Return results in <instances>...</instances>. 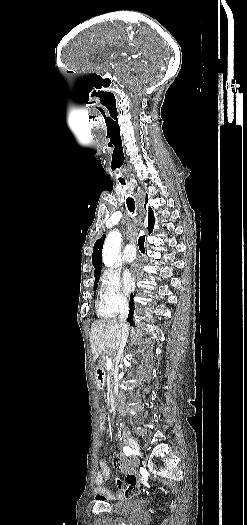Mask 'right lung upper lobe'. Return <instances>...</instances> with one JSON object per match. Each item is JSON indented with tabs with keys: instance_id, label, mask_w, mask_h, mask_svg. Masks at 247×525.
Wrapping results in <instances>:
<instances>
[{
	"instance_id": "1",
	"label": "right lung upper lobe",
	"mask_w": 247,
	"mask_h": 525,
	"mask_svg": "<svg viewBox=\"0 0 247 525\" xmlns=\"http://www.w3.org/2000/svg\"><path fill=\"white\" fill-rule=\"evenodd\" d=\"M146 202H147V195H146ZM145 208H146V205H145ZM149 216H148V231L149 233L152 232L153 230V227H154V215H153V211L151 208H149ZM104 238L105 236L103 235L99 240H97L94 244V247H93V254H92V264L95 268L94 270V277L95 276H100V272H101V254H102V248H103V243H104Z\"/></svg>"
}]
</instances>
